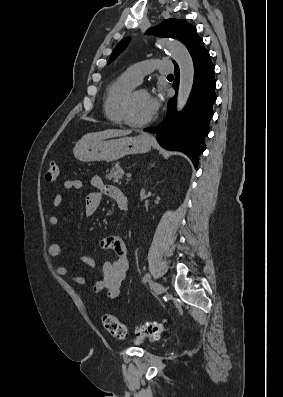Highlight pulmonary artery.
Listing matches in <instances>:
<instances>
[{
    "mask_svg": "<svg viewBox=\"0 0 283 397\" xmlns=\"http://www.w3.org/2000/svg\"><path fill=\"white\" fill-rule=\"evenodd\" d=\"M154 70L159 71L161 74H169L173 71V66L166 59L146 60L131 65L126 69L124 74L134 83L139 84L145 75Z\"/></svg>",
    "mask_w": 283,
    "mask_h": 397,
    "instance_id": "pulmonary-artery-1",
    "label": "pulmonary artery"
}]
</instances>
